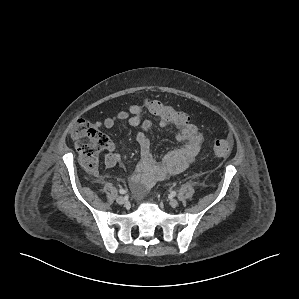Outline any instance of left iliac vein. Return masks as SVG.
<instances>
[{
    "label": "left iliac vein",
    "instance_id": "obj_1",
    "mask_svg": "<svg viewBox=\"0 0 299 299\" xmlns=\"http://www.w3.org/2000/svg\"><path fill=\"white\" fill-rule=\"evenodd\" d=\"M170 205H171L172 207H176V206L178 205V201H177L176 199H171V200H170Z\"/></svg>",
    "mask_w": 299,
    "mask_h": 299
}]
</instances>
